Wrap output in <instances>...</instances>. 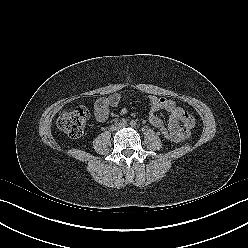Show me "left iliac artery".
Masks as SVG:
<instances>
[{
    "label": "left iliac artery",
    "mask_w": 248,
    "mask_h": 248,
    "mask_svg": "<svg viewBox=\"0 0 248 248\" xmlns=\"http://www.w3.org/2000/svg\"><path fill=\"white\" fill-rule=\"evenodd\" d=\"M130 125H131V126H135V125H136V122L132 120V121L130 122Z\"/></svg>",
    "instance_id": "left-iliac-artery-1"
}]
</instances>
